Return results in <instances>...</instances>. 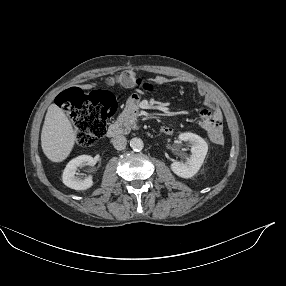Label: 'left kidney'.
<instances>
[{"label": "left kidney", "mask_w": 286, "mask_h": 286, "mask_svg": "<svg viewBox=\"0 0 286 286\" xmlns=\"http://www.w3.org/2000/svg\"><path fill=\"white\" fill-rule=\"evenodd\" d=\"M179 139L191 144V154L184 162L175 161L171 164V170L179 177L191 178L200 169L208 151L206 141L200 136L186 132L179 135Z\"/></svg>", "instance_id": "left-kidney-1"}]
</instances>
